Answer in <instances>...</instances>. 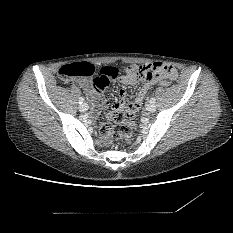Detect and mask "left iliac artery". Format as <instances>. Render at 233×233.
Instances as JSON below:
<instances>
[{
    "label": "left iliac artery",
    "instance_id": "obj_1",
    "mask_svg": "<svg viewBox=\"0 0 233 233\" xmlns=\"http://www.w3.org/2000/svg\"><path fill=\"white\" fill-rule=\"evenodd\" d=\"M155 101H156V99H155V98H151L150 103H151V104H154V103H155Z\"/></svg>",
    "mask_w": 233,
    "mask_h": 233
}]
</instances>
